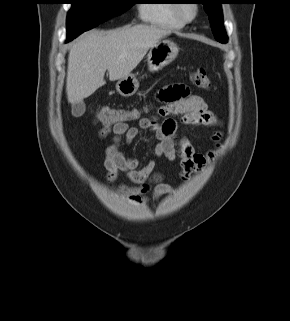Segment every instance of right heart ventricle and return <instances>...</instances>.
Returning a JSON list of instances; mask_svg holds the SVG:
<instances>
[{"label":"right heart ventricle","mask_w":290,"mask_h":321,"mask_svg":"<svg viewBox=\"0 0 290 321\" xmlns=\"http://www.w3.org/2000/svg\"><path fill=\"white\" fill-rule=\"evenodd\" d=\"M175 0H151L140 6L142 21L171 29H180L185 24L175 14Z\"/></svg>","instance_id":"obj_1"}]
</instances>
